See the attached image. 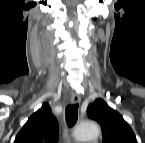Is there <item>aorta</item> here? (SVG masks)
I'll list each match as a JSON object with an SVG mask.
<instances>
[{
  "label": "aorta",
  "instance_id": "aorta-1",
  "mask_svg": "<svg viewBox=\"0 0 145 143\" xmlns=\"http://www.w3.org/2000/svg\"><path fill=\"white\" fill-rule=\"evenodd\" d=\"M99 135L98 125L92 121L82 122L75 131L77 141L84 142L95 139Z\"/></svg>",
  "mask_w": 145,
  "mask_h": 143
}]
</instances>
